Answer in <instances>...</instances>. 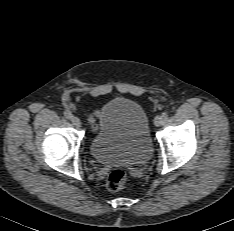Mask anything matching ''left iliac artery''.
Returning a JSON list of instances; mask_svg holds the SVG:
<instances>
[{
  "label": "left iliac artery",
  "mask_w": 234,
  "mask_h": 231,
  "mask_svg": "<svg viewBox=\"0 0 234 231\" xmlns=\"http://www.w3.org/2000/svg\"><path fill=\"white\" fill-rule=\"evenodd\" d=\"M162 118V124L168 119V113L167 112H163L161 115Z\"/></svg>",
  "instance_id": "44dca946"
}]
</instances>
